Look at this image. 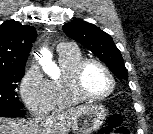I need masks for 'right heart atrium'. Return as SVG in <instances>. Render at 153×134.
<instances>
[{
    "label": "right heart atrium",
    "instance_id": "obj_1",
    "mask_svg": "<svg viewBox=\"0 0 153 134\" xmlns=\"http://www.w3.org/2000/svg\"><path fill=\"white\" fill-rule=\"evenodd\" d=\"M20 96L33 115H42L50 110L49 81L37 65H30L20 82Z\"/></svg>",
    "mask_w": 153,
    "mask_h": 134
}]
</instances>
